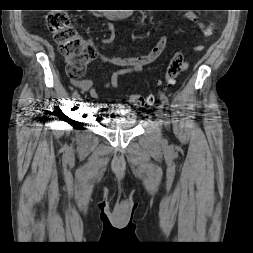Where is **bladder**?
<instances>
[{"instance_id": "bladder-1", "label": "bladder", "mask_w": 253, "mask_h": 253, "mask_svg": "<svg viewBox=\"0 0 253 253\" xmlns=\"http://www.w3.org/2000/svg\"><path fill=\"white\" fill-rule=\"evenodd\" d=\"M101 121L106 128L126 130L136 127L137 120L127 108L100 112Z\"/></svg>"}]
</instances>
